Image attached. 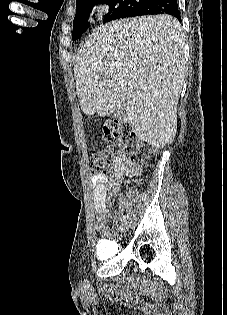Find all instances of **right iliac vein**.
Instances as JSON below:
<instances>
[{
    "label": "right iliac vein",
    "mask_w": 227,
    "mask_h": 315,
    "mask_svg": "<svg viewBox=\"0 0 227 315\" xmlns=\"http://www.w3.org/2000/svg\"><path fill=\"white\" fill-rule=\"evenodd\" d=\"M127 228H128V223L125 221L119 226L118 230L119 232L123 233L126 231Z\"/></svg>",
    "instance_id": "obj_1"
}]
</instances>
